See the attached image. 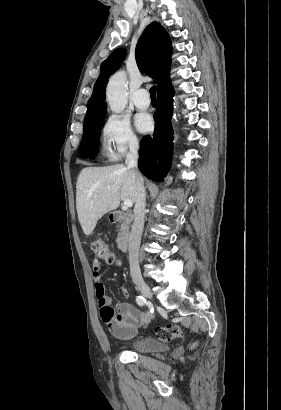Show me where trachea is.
<instances>
[{"label": "trachea", "mask_w": 281, "mask_h": 410, "mask_svg": "<svg viewBox=\"0 0 281 410\" xmlns=\"http://www.w3.org/2000/svg\"><path fill=\"white\" fill-rule=\"evenodd\" d=\"M149 92L151 99H156V86H152Z\"/></svg>", "instance_id": "3493384b"}]
</instances>
